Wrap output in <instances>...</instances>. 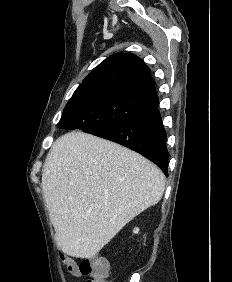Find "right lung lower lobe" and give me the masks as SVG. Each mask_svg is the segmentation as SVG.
Instances as JSON below:
<instances>
[{
	"label": "right lung lower lobe",
	"instance_id": "1",
	"mask_svg": "<svg viewBox=\"0 0 232 282\" xmlns=\"http://www.w3.org/2000/svg\"><path fill=\"white\" fill-rule=\"evenodd\" d=\"M88 133L140 153L154 162L168 176L166 132L158 106L147 115L112 127L97 128Z\"/></svg>",
	"mask_w": 232,
	"mask_h": 282
}]
</instances>
